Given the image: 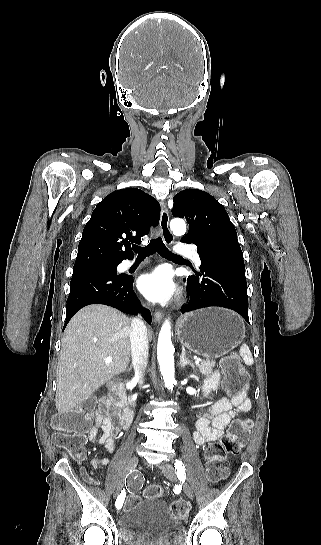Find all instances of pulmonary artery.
<instances>
[{"mask_svg": "<svg viewBox=\"0 0 321 545\" xmlns=\"http://www.w3.org/2000/svg\"><path fill=\"white\" fill-rule=\"evenodd\" d=\"M173 252L177 256L182 255L183 257H192L193 261L197 265H200L201 263L199 255L197 253L194 254V248L192 246H187L186 243L183 241L177 243L176 248ZM131 266L132 262L130 261H125L119 265V267L124 270L130 268Z\"/></svg>", "mask_w": 321, "mask_h": 545, "instance_id": "obj_1", "label": "pulmonary artery"}]
</instances>
